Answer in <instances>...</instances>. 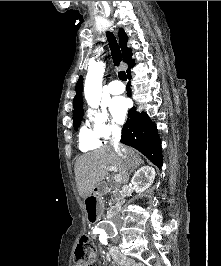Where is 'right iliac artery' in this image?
<instances>
[{
	"label": "right iliac artery",
	"instance_id": "82829eb1",
	"mask_svg": "<svg viewBox=\"0 0 221 266\" xmlns=\"http://www.w3.org/2000/svg\"><path fill=\"white\" fill-rule=\"evenodd\" d=\"M100 233H101L100 230H94V234H100ZM103 233H105V232H103Z\"/></svg>",
	"mask_w": 221,
	"mask_h": 266
}]
</instances>
